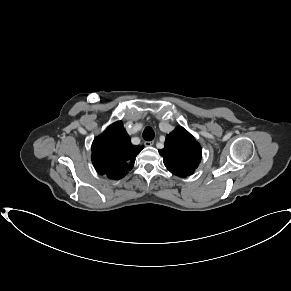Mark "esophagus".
Instances as JSON below:
<instances>
[{
	"label": "esophagus",
	"mask_w": 291,
	"mask_h": 291,
	"mask_svg": "<svg viewBox=\"0 0 291 291\" xmlns=\"http://www.w3.org/2000/svg\"><path fill=\"white\" fill-rule=\"evenodd\" d=\"M145 146H152L154 144V141H145Z\"/></svg>",
	"instance_id": "obj_1"
}]
</instances>
